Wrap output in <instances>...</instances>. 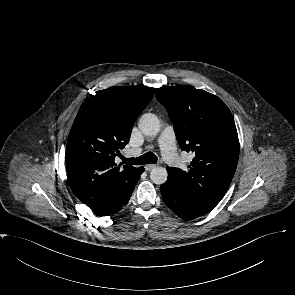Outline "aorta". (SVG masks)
<instances>
[{
	"label": "aorta",
	"instance_id": "obj_1",
	"mask_svg": "<svg viewBox=\"0 0 295 295\" xmlns=\"http://www.w3.org/2000/svg\"><path fill=\"white\" fill-rule=\"evenodd\" d=\"M138 127L140 131L146 136H156L160 131V121L153 113H146L141 116ZM168 173L166 168L157 166L150 172V179L153 183L161 185L166 182Z\"/></svg>",
	"mask_w": 295,
	"mask_h": 295
}]
</instances>
